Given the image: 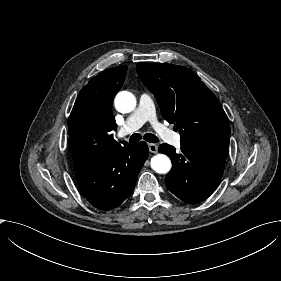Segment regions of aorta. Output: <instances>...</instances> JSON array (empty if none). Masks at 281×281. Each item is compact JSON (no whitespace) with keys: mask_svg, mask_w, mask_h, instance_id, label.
<instances>
[{"mask_svg":"<svg viewBox=\"0 0 281 281\" xmlns=\"http://www.w3.org/2000/svg\"><path fill=\"white\" fill-rule=\"evenodd\" d=\"M115 108L120 113H130L136 107L135 96L128 91L119 92L114 100ZM172 163L165 154H157L151 158V168L159 174H166L171 170Z\"/></svg>","mask_w":281,"mask_h":281,"instance_id":"obj_1","label":"aorta"}]
</instances>
